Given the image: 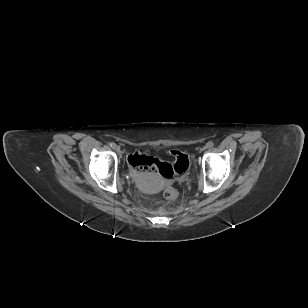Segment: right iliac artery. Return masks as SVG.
I'll list each match as a JSON object with an SVG mask.
<instances>
[{"instance_id": "1", "label": "right iliac artery", "mask_w": 308, "mask_h": 308, "mask_svg": "<svg viewBox=\"0 0 308 308\" xmlns=\"http://www.w3.org/2000/svg\"><path fill=\"white\" fill-rule=\"evenodd\" d=\"M110 146H111L112 148H114V147L116 146V144L113 143V142H111V143H110Z\"/></svg>"}]
</instances>
